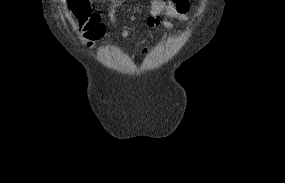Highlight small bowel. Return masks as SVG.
<instances>
[{
	"label": "small bowel",
	"instance_id": "obj_1",
	"mask_svg": "<svg viewBox=\"0 0 285 183\" xmlns=\"http://www.w3.org/2000/svg\"><path fill=\"white\" fill-rule=\"evenodd\" d=\"M187 2L183 3L185 7L189 10V4ZM120 3L115 2L109 12L108 16L112 24L116 23V13L118 10ZM187 11H180L177 9L176 3L173 4H165L160 0H152L150 15L147 19V23L150 27L163 26L166 29H174L175 25L170 21L171 19H176L182 22H187L189 20V16ZM131 35V29L125 28L121 32V36L123 38H128Z\"/></svg>",
	"mask_w": 285,
	"mask_h": 183
}]
</instances>
